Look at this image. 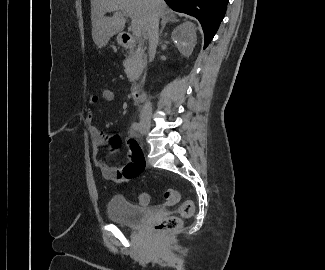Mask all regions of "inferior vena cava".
Returning <instances> with one entry per match:
<instances>
[{
    "mask_svg": "<svg viewBox=\"0 0 325 270\" xmlns=\"http://www.w3.org/2000/svg\"><path fill=\"white\" fill-rule=\"evenodd\" d=\"M158 30H159V17L154 16L150 23V29H149L150 60L154 58L156 52V47L159 40ZM151 112H152L151 103L146 102L142 108L141 119L149 122L151 118Z\"/></svg>",
    "mask_w": 325,
    "mask_h": 270,
    "instance_id": "1",
    "label": "inferior vena cava"
}]
</instances>
